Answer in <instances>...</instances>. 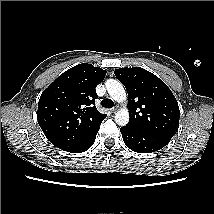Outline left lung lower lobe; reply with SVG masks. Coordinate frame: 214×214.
Instances as JSON below:
<instances>
[{
    "label": "left lung lower lobe",
    "instance_id": "0a47b994",
    "mask_svg": "<svg viewBox=\"0 0 214 214\" xmlns=\"http://www.w3.org/2000/svg\"><path fill=\"white\" fill-rule=\"evenodd\" d=\"M125 145L137 153H151L166 146L171 138L124 126L120 129Z\"/></svg>",
    "mask_w": 214,
    "mask_h": 214
}]
</instances>
